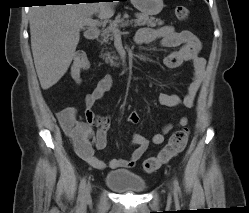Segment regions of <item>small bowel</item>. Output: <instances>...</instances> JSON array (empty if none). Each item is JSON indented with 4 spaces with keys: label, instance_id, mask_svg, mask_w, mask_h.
<instances>
[{
    "label": "small bowel",
    "instance_id": "c3829d8e",
    "mask_svg": "<svg viewBox=\"0 0 249 213\" xmlns=\"http://www.w3.org/2000/svg\"><path fill=\"white\" fill-rule=\"evenodd\" d=\"M161 41L162 46L175 48L169 53L164 63L168 68H177L182 63H190L193 67V77L188 85L186 94L181 98L177 95L161 93L158 101L165 107L183 106L191 108L202 83L206 61L199 55L201 43L199 39L190 31H177L173 26H162L158 28L144 27L136 35V43L152 44ZM113 85L111 76L103 77L96 85L93 91L85 97V115L86 120L81 121L77 118V110L74 107H67L57 113L62 130L72 138L73 145L78 156L88 165L96 169L130 168L143 156L151 143L161 144L166 135L173 129L172 124H167L161 131L151 138L135 133L132 136L131 144L134 150L127 159L113 158L107 163L99 160L95 150H104L107 146V131L110 126V117L108 115H98L92 110L94 104L99 101ZM127 121L131 124H137L140 116L137 111H132ZM188 124L186 117H181L176 126L181 128ZM97 127L94 132L92 126Z\"/></svg>",
    "mask_w": 249,
    "mask_h": 213
}]
</instances>
